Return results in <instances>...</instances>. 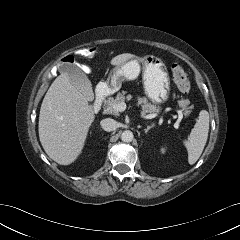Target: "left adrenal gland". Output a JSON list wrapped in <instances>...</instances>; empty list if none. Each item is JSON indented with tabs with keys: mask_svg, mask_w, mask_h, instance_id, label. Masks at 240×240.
Instances as JSON below:
<instances>
[{
	"mask_svg": "<svg viewBox=\"0 0 240 240\" xmlns=\"http://www.w3.org/2000/svg\"><path fill=\"white\" fill-rule=\"evenodd\" d=\"M152 127L153 125H148L147 128L144 129L145 133H147Z\"/></svg>",
	"mask_w": 240,
	"mask_h": 240,
	"instance_id": "1",
	"label": "left adrenal gland"
}]
</instances>
